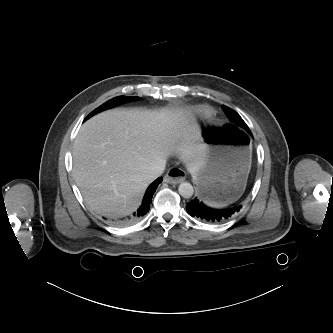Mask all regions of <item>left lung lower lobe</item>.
<instances>
[{"label": "left lung lower lobe", "mask_w": 333, "mask_h": 333, "mask_svg": "<svg viewBox=\"0 0 333 333\" xmlns=\"http://www.w3.org/2000/svg\"><path fill=\"white\" fill-rule=\"evenodd\" d=\"M240 208L241 205L225 209H213L204 205L197 198L186 204V210L189 215L210 223H219L228 220L235 213L239 212Z\"/></svg>", "instance_id": "left-lung-lower-lobe-1"}]
</instances>
